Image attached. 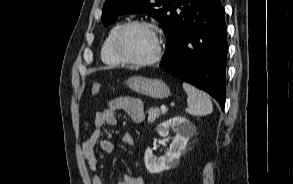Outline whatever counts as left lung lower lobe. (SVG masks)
<instances>
[{"label": "left lung lower lobe", "instance_id": "obj_1", "mask_svg": "<svg viewBox=\"0 0 293 184\" xmlns=\"http://www.w3.org/2000/svg\"><path fill=\"white\" fill-rule=\"evenodd\" d=\"M160 67L206 91L224 108L228 44L220 0H179Z\"/></svg>", "mask_w": 293, "mask_h": 184}]
</instances>
